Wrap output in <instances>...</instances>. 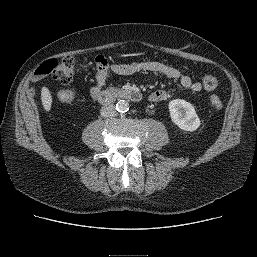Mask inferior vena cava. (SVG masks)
<instances>
[{
  "instance_id": "inferior-vena-cava-1",
  "label": "inferior vena cava",
  "mask_w": 257,
  "mask_h": 257,
  "mask_svg": "<svg viewBox=\"0 0 257 257\" xmlns=\"http://www.w3.org/2000/svg\"><path fill=\"white\" fill-rule=\"evenodd\" d=\"M101 116L102 117H112L116 113L115 105L113 103H108L101 108Z\"/></svg>"
}]
</instances>
